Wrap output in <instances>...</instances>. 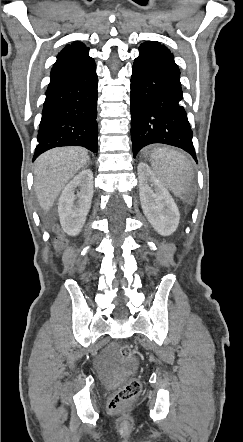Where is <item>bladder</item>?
Segmentation results:
<instances>
[{"label": "bladder", "mask_w": 243, "mask_h": 442, "mask_svg": "<svg viewBox=\"0 0 243 442\" xmlns=\"http://www.w3.org/2000/svg\"><path fill=\"white\" fill-rule=\"evenodd\" d=\"M133 366V363L131 362H125V361H120L117 364V368L120 372H127L129 370L130 367Z\"/></svg>", "instance_id": "obj_1"}]
</instances>
